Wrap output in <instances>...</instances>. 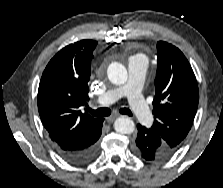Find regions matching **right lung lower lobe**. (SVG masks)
Returning a JSON list of instances; mask_svg holds the SVG:
<instances>
[{
  "label": "right lung lower lobe",
  "mask_w": 223,
  "mask_h": 188,
  "mask_svg": "<svg viewBox=\"0 0 223 188\" xmlns=\"http://www.w3.org/2000/svg\"><path fill=\"white\" fill-rule=\"evenodd\" d=\"M103 121L104 119L102 118V122L99 124V127L95 132L77 145L53 144L56 152L72 164L83 165L89 163L95 159L99 152L98 139L101 135Z\"/></svg>",
  "instance_id": "right-lung-lower-lobe-1"
}]
</instances>
